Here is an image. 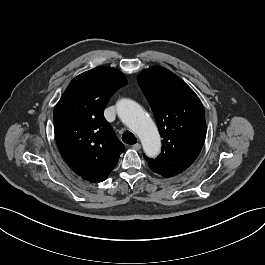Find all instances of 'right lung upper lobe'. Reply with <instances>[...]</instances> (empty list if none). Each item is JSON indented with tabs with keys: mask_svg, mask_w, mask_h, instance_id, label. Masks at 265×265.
Wrapping results in <instances>:
<instances>
[{
	"mask_svg": "<svg viewBox=\"0 0 265 265\" xmlns=\"http://www.w3.org/2000/svg\"><path fill=\"white\" fill-rule=\"evenodd\" d=\"M125 85L122 72L99 66L75 77L55 106L60 153L89 182L104 181L125 150L103 114L110 97Z\"/></svg>",
	"mask_w": 265,
	"mask_h": 265,
	"instance_id": "1",
	"label": "right lung upper lobe"
}]
</instances>
